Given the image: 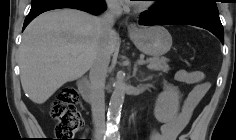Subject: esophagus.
<instances>
[{"instance_id":"34e87169","label":"esophagus","mask_w":236,"mask_h":140,"mask_svg":"<svg viewBox=\"0 0 236 140\" xmlns=\"http://www.w3.org/2000/svg\"><path fill=\"white\" fill-rule=\"evenodd\" d=\"M136 30H137L136 26H133V25L129 28L130 33H134L136 32Z\"/></svg>"}]
</instances>
